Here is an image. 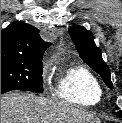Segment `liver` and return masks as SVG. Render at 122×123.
Segmentation results:
<instances>
[{"mask_svg":"<svg viewBox=\"0 0 122 123\" xmlns=\"http://www.w3.org/2000/svg\"><path fill=\"white\" fill-rule=\"evenodd\" d=\"M1 123H101L92 113L30 93L1 97Z\"/></svg>","mask_w":122,"mask_h":123,"instance_id":"obj_1","label":"liver"}]
</instances>
